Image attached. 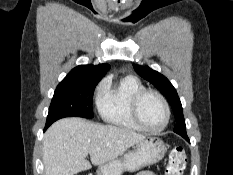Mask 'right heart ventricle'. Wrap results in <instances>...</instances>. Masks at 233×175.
I'll list each match as a JSON object with an SVG mask.
<instances>
[{
	"instance_id": "1",
	"label": "right heart ventricle",
	"mask_w": 233,
	"mask_h": 175,
	"mask_svg": "<svg viewBox=\"0 0 233 175\" xmlns=\"http://www.w3.org/2000/svg\"><path fill=\"white\" fill-rule=\"evenodd\" d=\"M142 89L144 85L134 76H125L114 84L105 81L96 100L100 117L116 128L141 131L131 116L130 104L134 94Z\"/></svg>"
}]
</instances>
